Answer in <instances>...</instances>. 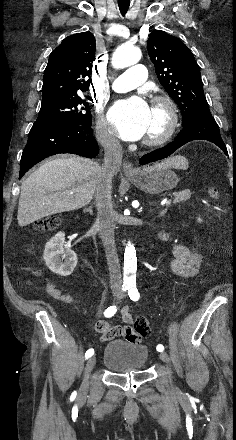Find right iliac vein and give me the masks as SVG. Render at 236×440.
I'll list each match as a JSON object with an SVG mask.
<instances>
[{
	"label": "right iliac vein",
	"mask_w": 236,
	"mask_h": 440,
	"mask_svg": "<svg viewBox=\"0 0 236 440\" xmlns=\"http://www.w3.org/2000/svg\"><path fill=\"white\" fill-rule=\"evenodd\" d=\"M95 364H96L95 357H91L87 361L86 366H85V371H84V379H83L82 386H81L82 390H87L88 385H89L88 378H89V375H90L91 371L93 370Z\"/></svg>",
	"instance_id": "obj_1"
}]
</instances>
